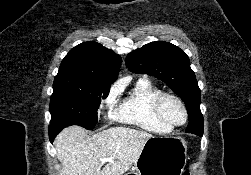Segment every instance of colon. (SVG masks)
<instances>
[{
  "mask_svg": "<svg viewBox=\"0 0 251 175\" xmlns=\"http://www.w3.org/2000/svg\"><path fill=\"white\" fill-rule=\"evenodd\" d=\"M183 175H190L189 172H185Z\"/></svg>",
  "mask_w": 251,
  "mask_h": 175,
  "instance_id": "colon-1",
  "label": "colon"
}]
</instances>
